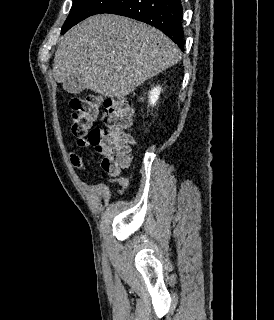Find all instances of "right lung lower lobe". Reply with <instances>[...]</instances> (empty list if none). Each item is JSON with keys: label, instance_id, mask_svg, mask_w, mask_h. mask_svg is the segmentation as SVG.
Wrapping results in <instances>:
<instances>
[{"label": "right lung lower lobe", "instance_id": "98d812e1", "mask_svg": "<svg viewBox=\"0 0 274 320\" xmlns=\"http://www.w3.org/2000/svg\"><path fill=\"white\" fill-rule=\"evenodd\" d=\"M101 13L122 15L150 24L184 51L181 0H117Z\"/></svg>", "mask_w": 274, "mask_h": 320}]
</instances>
